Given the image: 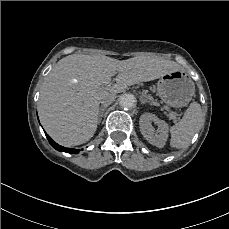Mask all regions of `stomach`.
Here are the masks:
<instances>
[{
	"mask_svg": "<svg viewBox=\"0 0 229 229\" xmlns=\"http://www.w3.org/2000/svg\"><path fill=\"white\" fill-rule=\"evenodd\" d=\"M157 94L171 107H184L195 94V84L185 71L177 69L161 76Z\"/></svg>",
	"mask_w": 229,
	"mask_h": 229,
	"instance_id": "0dacf381",
	"label": "stomach"
}]
</instances>
